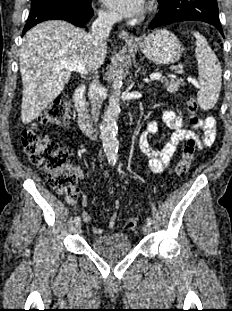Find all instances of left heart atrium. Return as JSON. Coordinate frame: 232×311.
I'll use <instances>...</instances> for the list:
<instances>
[{"label": "left heart atrium", "instance_id": "1", "mask_svg": "<svg viewBox=\"0 0 232 311\" xmlns=\"http://www.w3.org/2000/svg\"><path fill=\"white\" fill-rule=\"evenodd\" d=\"M109 8L124 17H133L141 13L144 0H102Z\"/></svg>", "mask_w": 232, "mask_h": 311}]
</instances>
